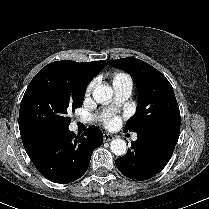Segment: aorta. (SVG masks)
<instances>
[{"label":"aorta","instance_id":"762f6f07","mask_svg":"<svg viewBox=\"0 0 209 209\" xmlns=\"http://www.w3.org/2000/svg\"><path fill=\"white\" fill-rule=\"evenodd\" d=\"M113 97V89L111 86L106 84H101L97 86L93 91V98L98 103H107ZM110 149L113 154L116 156H123L127 152V143L123 139H114L110 143Z\"/></svg>","mask_w":209,"mask_h":209}]
</instances>
